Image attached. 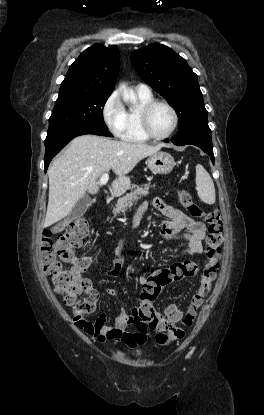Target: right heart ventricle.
Here are the masks:
<instances>
[{"mask_svg":"<svg viewBox=\"0 0 264 415\" xmlns=\"http://www.w3.org/2000/svg\"><path fill=\"white\" fill-rule=\"evenodd\" d=\"M138 105L125 110V127L120 137L128 142H146L148 138L142 133L139 120V109L153 100L152 93L144 94L136 91Z\"/></svg>","mask_w":264,"mask_h":415,"instance_id":"obj_1","label":"right heart ventricle"}]
</instances>
